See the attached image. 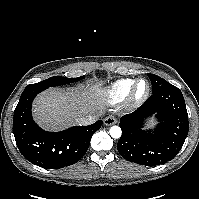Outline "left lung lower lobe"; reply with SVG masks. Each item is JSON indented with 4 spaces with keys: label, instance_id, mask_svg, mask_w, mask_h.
<instances>
[{
    "label": "left lung lower lobe",
    "instance_id": "left-lung-lower-lobe-1",
    "mask_svg": "<svg viewBox=\"0 0 199 199\" xmlns=\"http://www.w3.org/2000/svg\"><path fill=\"white\" fill-rule=\"evenodd\" d=\"M156 114L153 131L142 130L144 120ZM122 136L117 148L128 161L156 166L172 160L181 150L189 130L188 114L181 91L176 88L152 94L135 112L121 117Z\"/></svg>",
    "mask_w": 199,
    "mask_h": 199
}]
</instances>
